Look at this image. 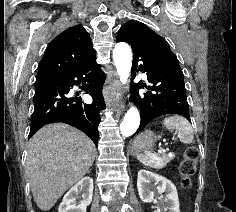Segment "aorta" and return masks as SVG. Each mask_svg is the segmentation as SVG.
Returning <instances> with one entry per match:
<instances>
[{"mask_svg":"<svg viewBox=\"0 0 236 212\" xmlns=\"http://www.w3.org/2000/svg\"><path fill=\"white\" fill-rule=\"evenodd\" d=\"M113 61L119 75L120 81L127 83L132 62V51L127 43H117L113 50ZM140 124V114L136 107H131L125 114L121 124L120 131L125 137L131 136L136 132Z\"/></svg>","mask_w":236,"mask_h":212,"instance_id":"obj_1","label":"aorta"}]
</instances>
